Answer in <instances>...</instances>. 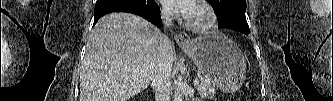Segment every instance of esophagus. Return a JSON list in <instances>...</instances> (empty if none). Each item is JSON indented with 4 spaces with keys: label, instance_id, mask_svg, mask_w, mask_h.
<instances>
[{
    "label": "esophagus",
    "instance_id": "34e87169",
    "mask_svg": "<svg viewBox=\"0 0 333 101\" xmlns=\"http://www.w3.org/2000/svg\"><path fill=\"white\" fill-rule=\"evenodd\" d=\"M174 38L180 47L190 46V37L185 32L175 33Z\"/></svg>",
    "mask_w": 333,
    "mask_h": 101
}]
</instances>
